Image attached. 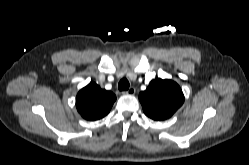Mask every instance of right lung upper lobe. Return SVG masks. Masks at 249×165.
Wrapping results in <instances>:
<instances>
[{"instance_id":"cb5924a9","label":"right lung upper lobe","mask_w":249,"mask_h":165,"mask_svg":"<svg viewBox=\"0 0 249 165\" xmlns=\"http://www.w3.org/2000/svg\"><path fill=\"white\" fill-rule=\"evenodd\" d=\"M116 96L111 91L101 89L99 85L90 82L81 89L76 97V107L81 116L90 121L106 116Z\"/></svg>"}]
</instances>
